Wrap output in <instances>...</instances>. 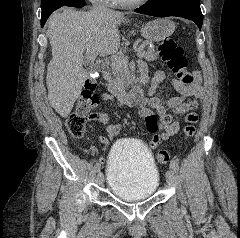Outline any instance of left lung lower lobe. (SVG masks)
Segmentation results:
<instances>
[{"label":"left lung lower lobe","mask_w":240,"mask_h":238,"mask_svg":"<svg viewBox=\"0 0 240 238\" xmlns=\"http://www.w3.org/2000/svg\"><path fill=\"white\" fill-rule=\"evenodd\" d=\"M135 12L156 17H184L194 21L199 28L203 21L200 0H149Z\"/></svg>","instance_id":"left-lung-lower-lobe-1"}]
</instances>
